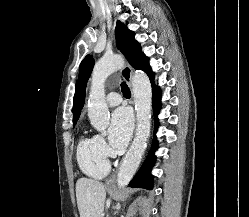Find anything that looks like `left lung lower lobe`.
Masks as SVG:
<instances>
[{
  "label": "left lung lower lobe",
  "instance_id": "1",
  "mask_svg": "<svg viewBox=\"0 0 249 217\" xmlns=\"http://www.w3.org/2000/svg\"><path fill=\"white\" fill-rule=\"evenodd\" d=\"M149 76V79L152 83V92H153V110L154 115L156 118V126H157V115L159 113V107H160V98H161V91L158 86L155 85L154 82V72L150 69L148 72H146ZM157 130V127L155 128V131ZM157 149V142L156 139H154V143L152 145V149L141 167V169L138 171L136 176L133 178V180L130 182L129 186L131 187H139V188H146L151 190L153 188V176L151 175V167L153 166L155 162V151Z\"/></svg>",
  "mask_w": 249,
  "mask_h": 217
}]
</instances>
